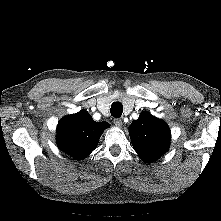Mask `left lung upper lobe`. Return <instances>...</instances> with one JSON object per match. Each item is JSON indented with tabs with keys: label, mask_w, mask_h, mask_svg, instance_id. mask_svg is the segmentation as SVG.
<instances>
[{
	"label": "left lung upper lobe",
	"mask_w": 221,
	"mask_h": 221,
	"mask_svg": "<svg viewBox=\"0 0 221 221\" xmlns=\"http://www.w3.org/2000/svg\"><path fill=\"white\" fill-rule=\"evenodd\" d=\"M132 145L144 162L152 163L162 156L170 145V129L168 125L147 112L129 127Z\"/></svg>",
	"instance_id": "5c2ea615"
}]
</instances>
